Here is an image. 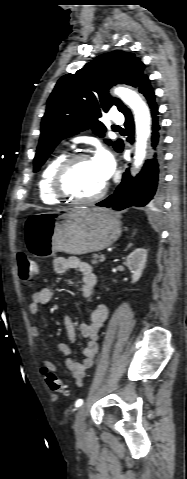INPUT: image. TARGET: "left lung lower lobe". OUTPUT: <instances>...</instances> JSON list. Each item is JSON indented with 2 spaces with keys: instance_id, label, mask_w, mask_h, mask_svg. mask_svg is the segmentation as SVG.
Wrapping results in <instances>:
<instances>
[{
  "instance_id": "1",
  "label": "left lung lower lobe",
  "mask_w": 187,
  "mask_h": 479,
  "mask_svg": "<svg viewBox=\"0 0 187 479\" xmlns=\"http://www.w3.org/2000/svg\"><path fill=\"white\" fill-rule=\"evenodd\" d=\"M139 92L142 93L151 109L152 116V158L147 160L141 172L132 178L129 170L123 174L122 182L117 187L114 194L107 199L97 203V206L113 208L114 210H123L128 207H144L147 205H156L162 198L163 193V152L162 137L159 134L160 125L158 121V107L155 102V95L150 85L148 77L145 78L140 86ZM125 128L129 133L127 140H134V121L129 109H126ZM123 149V143L118 152Z\"/></svg>"
}]
</instances>
